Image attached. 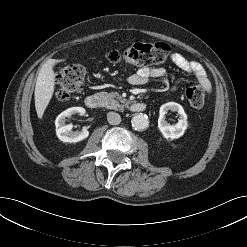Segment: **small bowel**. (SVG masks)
Masks as SVG:
<instances>
[{"mask_svg":"<svg viewBox=\"0 0 247 247\" xmlns=\"http://www.w3.org/2000/svg\"><path fill=\"white\" fill-rule=\"evenodd\" d=\"M172 62L183 72L191 75L196 83L202 89L210 94L212 90L211 82L206 74L204 67L197 61L188 60L180 53H173L171 55ZM165 76V69L162 67L156 68H141L135 73L129 75L128 80L133 85H142L150 79H159Z\"/></svg>","mask_w":247,"mask_h":247,"instance_id":"small-bowel-1","label":"small bowel"}]
</instances>
